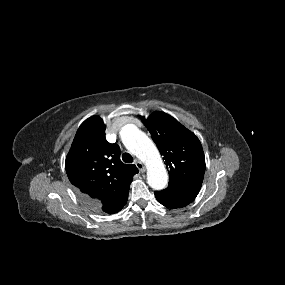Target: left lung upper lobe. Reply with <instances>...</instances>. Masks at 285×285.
I'll return each mask as SVG.
<instances>
[{
  "label": "left lung upper lobe",
  "instance_id": "obj_1",
  "mask_svg": "<svg viewBox=\"0 0 285 285\" xmlns=\"http://www.w3.org/2000/svg\"><path fill=\"white\" fill-rule=\"evenodd\" d=\"M144 125L159 149L169 170V186L199 191L205 173V156L199 139L177 120L154 112Z\"/></svg>",
  "mask_w": 285,
  "mask_h": 285
}]
</instances>
